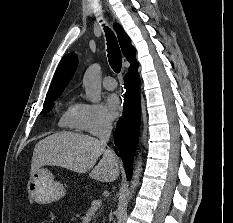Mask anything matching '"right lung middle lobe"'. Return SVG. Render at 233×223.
Segmentation results:
<instances>
[{"instance_id": "dd1d6c3e", "label": "right lung middle lobe", "mask_w": 233, "mask_h": 223, "mask_svg": "<svg viewBox=\"0 0 233 223\" xmlns=\"http://www.w3.org/2000/svg\"><path fill=\"white\" fill-rule=\"evenodd\" d=\"M53 106H54V103L45 105V106H43V111L48 112V111H50L52 109Z\"/></svg>"}]
</instances>
